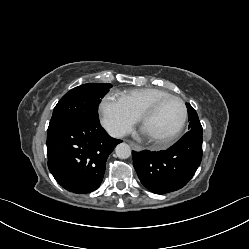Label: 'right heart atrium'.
I'll list each match as a JSON object with an SVG mask.
<instances>
[{
    "mask_svg": "<svg viewBox=\"0 0 249 249\" xmlns=\"http://www.w3.org/2000/svg\"><path fill=\"white\" fill-rule=\"evenodd\" d=\"M98 111L102 125L116 137L126 135L139 119L120 98L113 94H107L101 99Z\"/></svg>",
    "mask_w": 249,
    "mask_h": 249,
    "instance_id": "obj_1",
    "label": "right heart atrium"
}]
</instances>
